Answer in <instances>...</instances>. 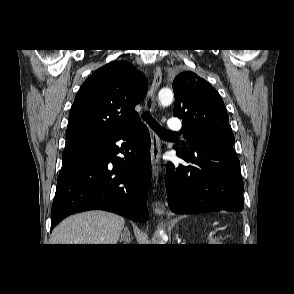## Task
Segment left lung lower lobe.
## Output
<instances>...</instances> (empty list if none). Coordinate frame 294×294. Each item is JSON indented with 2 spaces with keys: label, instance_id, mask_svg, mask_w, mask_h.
<instances>
[{
  "label": "left lung lower lobe",
  "instance_id": "obj_1",
  "mask_svg": "<svg viewBox=\"0 0 294 294\" xmlns=\"http://www.w3.org/2000/svg\"><path fill=\"white\" fill-rule=\"evenodd\" d=\"M174 148L177 156L190 165L167 164V201L171 211L191 214L243 210L240 161L232 146L193 142Z\"/></svg>",
  "mask_w": 294,
  "mask_h": 294
}]
</instances>
